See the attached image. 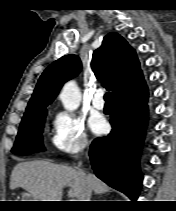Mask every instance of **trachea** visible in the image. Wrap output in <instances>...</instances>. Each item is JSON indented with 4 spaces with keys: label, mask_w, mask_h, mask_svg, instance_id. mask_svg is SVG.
Wrapping results in <instances>:
<instances>
[{
    "label": "trachea",
    "mask_w": 176,
    "mask_h": 211,
    "mask_svg": "<svg viewBox=\"0 0 176 211\" xmlns=\"http://www.w3.org/2000/svg\"><path fill=\"white\" fill-rule=\"evenodd\" d=\"M104 99L106 102H112V94L110 92L106 93Z\"/></svg>",
    "instance_id": "1"
}]
</instances>
